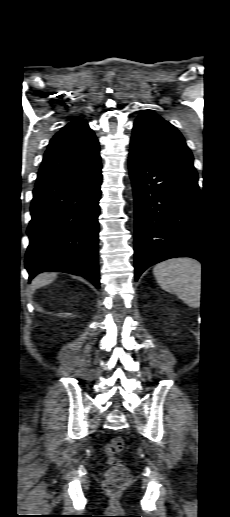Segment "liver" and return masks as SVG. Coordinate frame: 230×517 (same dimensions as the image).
<instances>
[{"instance_id": "1", "label": "liver", "mask_w": 230, "mask_h": 517, "mask_svg": "<svg viewBox=\"0 0 230 517\" xmlns=\"http://www.w3.org/2000/svg\"><path fill=\"white\" fill-rule=\"evenodd\" d=\"M57 278V273L44 272L37 275L32 281V287L34 289L46 286L52 283Z\"/></svg>"}]
</instances>
